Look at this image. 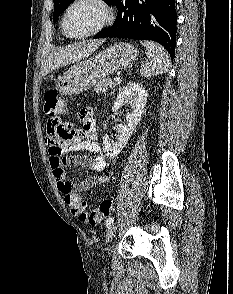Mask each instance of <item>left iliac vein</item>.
I'll return each mask as SVG.
<instances>
[{"label": "left iliac vein", "mask_w": 233, "mask_h": 294, "mask_svg": "<svg viewBox=\"0 0 233 294\" xmlns=\"http://www.w3.org/2000/svg\"><path fill=\"white\" fill-rule=\"evenodd\" d=\"M116 231H117V225H115V224L111 225L108 228L107 233H106V240H105L106 244H109L112 241Z\"/></svg>", "instance_id": "obj_1"}]
</instances>
